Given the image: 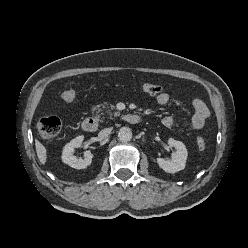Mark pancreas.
<instances>
[{
  "label": "pancreas",
  "mask_w": 248,
  "mask_h": 248,
  "mask_svg": "<svg viewBox=\"0 0 248 248\" xmlns=\"http://www.w3.org/2000/svg\"><path fill=\"white\" fill-rule=\"evenodd\" d=\"M112 108H114L113 106H112ZM120 115V112H115L114 113V116H119Z\"/></svg>",
  "instance_id": "1"
}]
</instances>
